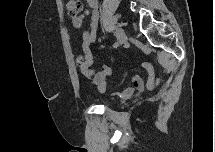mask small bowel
<instances>
[{
  "label": "small bowel",
  "mask_w": 215,
  "mask_h": 152,
  "mask_svg": "<svg viewBox=\"0 0 215 152\" xmlns=\"http://www.w3.org/2000/svg\"><path fill=\"white\" fill-rule=\"evenodd\" d=\"M86 16L90 17V27L82 34V50L86 56V64L81 67V71L86 79L93 82L100 92L106 90V82L112 75V69L108 64H103L101 69L94 75L91 74L89 66L92 64V53L91 46L95 44L97 39V26H98V1L97 0H86V9L84 13L77 16L71 17V24L73 28L79 30L83 26V22ZM149 72V79L147 82V89H153L158 81L154 79L152 68L147 67ZM145 89V84L141 76L134 75L132 77V84L126 87L120 94L124 99L130 98L133 94L142 92Z\"/></svg>",
  "instance_id": "small-bowel-1"
}]
</instances>
